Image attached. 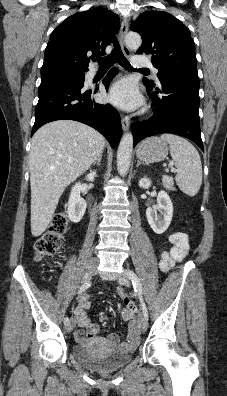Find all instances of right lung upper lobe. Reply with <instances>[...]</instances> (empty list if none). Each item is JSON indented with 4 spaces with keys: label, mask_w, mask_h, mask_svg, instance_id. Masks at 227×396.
<instances>
[{
    "label": "right lung upper lobe",
    "mask_w": 227,
    "mask_h": 396,
    "mask_svg": "<svg viewBox=\"0 0 227 396\" xmlns=\"http://www.w3.org/2000/svg\"><path fill=\"white\" fill-rule=\"evenodd\" d=\"M119 28V17L106 8L78 12L68 17L52 32L41 71H87L90 59L105 54V48L113 41Z\"/></svg>",
    "instance_id": "obj_1"
}]
</instances>
